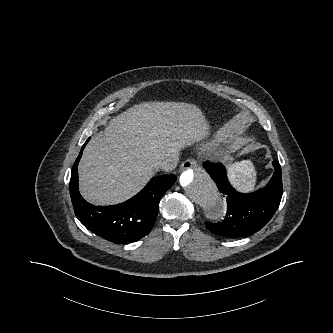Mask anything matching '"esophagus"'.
Masks as SVG:
<instances>
[{
  "label": "esophagus",
  "mask_w": 333,
  "mask_h": 333,
  "mask_svg": "<svg viewBox=\"0 0 333 333\" xmlns=\"http://www.w3.org/2000/svg\"><path fill=\"white\" fill-rule=\"evenodd\" d=\"M194 165H196V161L193 159H187L185 160L182 165L180 166L181 170H186L189 169L191 167H193Z\"/></svg>",
  "instance_id": "1"
}]
</instances>
